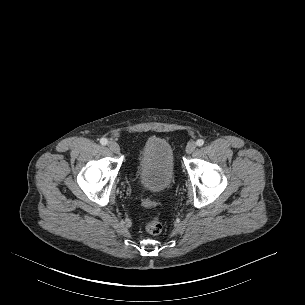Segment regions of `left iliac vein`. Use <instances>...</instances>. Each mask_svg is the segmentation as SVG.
Wrapping results in <instances>:
<instances>
[{
	"label": "left iliac vein",
	"instance_id": "4c4485c4",
	"mask_svg": "<svg viewBox=\"0 0 305 305\" xmlns=\"http://www.w3.org/2000/svg\"><path fill=\"white\" fill-rule=\"evenodd\" d=\"M196 149V143L190 141L186 146V153L191 154Z\"/></svg>",
	"mask_w": 305,
	"mask_h": 305
}]
</instances>
